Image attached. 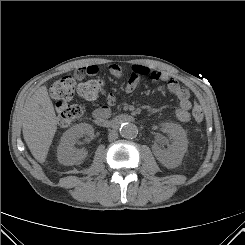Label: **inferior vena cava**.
Listing matches in <instances>:
<instances>
[{
  "instance_id": "1",
  "label": "inferior vena cava",
  "mask_w": 245,
  "mask_h": 245,
  "mask_svg": "<svg viewBox=\"0 0 245 245\" xmlns=\"http://www.w3.org/2000/svg\"><path fill=\"white\" fill-rule=\"evenodd\" d=\"M117 138H118V132L117 131L112 130L109 132V134H108L109 141L116 140Z\"/></svg>"
}]
</instances>
